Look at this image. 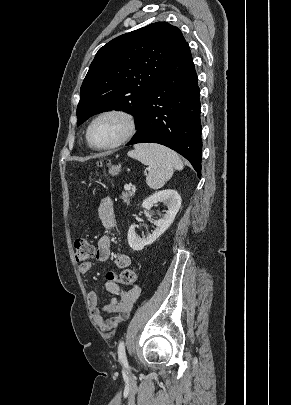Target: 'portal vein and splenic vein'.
Returning <instances> with one entry per match:
<instances>
[{"mask_svg":"<svg viewBox=\"0 0 291 405\" xmlns=\"http://www.w3.org/2000/svg\"><path fill=\"white\" fill-rule=\"evenodd\" d=\"M124 189L127 190V191H129V190H131V186L128 185V184H126V185L124 186Z\"/></svg>","mask_w":291,"mask_h":405,"instance_id":"1","label":"portal vein and splenic vein"}]
</instances>
